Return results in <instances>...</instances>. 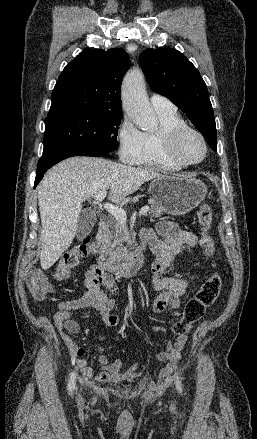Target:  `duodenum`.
Instances as JSON below:
<instances>
[{
  "mask_svg": "<svg viewBox=\"0 0 257 439\" xmlns=\"http://www.w3.org/2000/svg\"><path fill=\"white\" fill-rule=\"evenodd\" d=\"M108 240V223L100 220L97 225L96 241L100 249L101 255L98 258V267L102 271H108L120 277H127L138 272L144 262V253L146 243L141 242L140 245L129 254L124 260L116 262L106 253Z\"/></svg>",
  "mask_w": 257,
  "mask_h": 439,
  "instance_id": "duodenum-1",
  "label": "duodenum"
}]
</instances>
